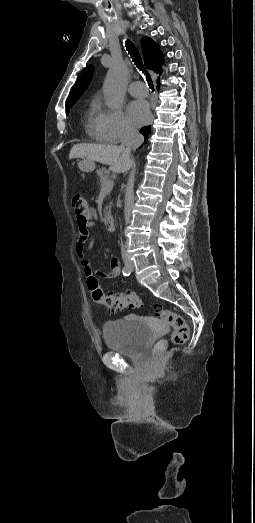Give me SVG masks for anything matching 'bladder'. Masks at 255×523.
Listing matches in <instances>:
<instances>
[{"instance_id": "1", "label": "bladder", "mask_w": 255, "mask_h": 523, "mask_svg": "<svg viewBox=\"0 0 255 523\" xmlns=\"http://www.w3.org/2000/svg\"><path fill=\"white\" fill-rule=\"evenodd\" d=\"M102 332L109 349L126 355L140 353L153 335L148 325L132 318L104 323Z\"/></svg>"}]
</instances>
